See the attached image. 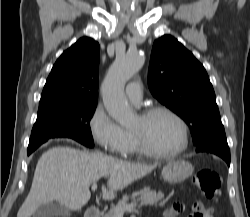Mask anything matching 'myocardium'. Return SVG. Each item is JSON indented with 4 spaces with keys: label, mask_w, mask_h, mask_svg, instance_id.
Instances as JSON below:
<instances>
[{
    "label": "myocardium",
    "mask_w": 250,
    "mask_h": 217,
    "mask_svg": "<svg viewBox=\"0 0 250 217\" xmlns=\"http://www.w3.org/2000/svg\"><path fill=\"white\" fill-rule=\"evenodd\" d=\"M156 113H165L178 123L181 129V143L172 151L158 152L152 149L138 133L131 131L139 153L156 159H169L181 154L187 148L189 143V128L187 123L177 112L165 105L149 106L140 113V117L141 119L146 120Z\"/></svg>",
    "instance_id": "1"
}]
</instances>
